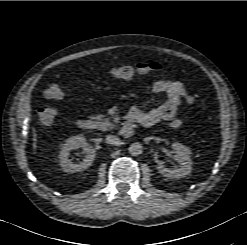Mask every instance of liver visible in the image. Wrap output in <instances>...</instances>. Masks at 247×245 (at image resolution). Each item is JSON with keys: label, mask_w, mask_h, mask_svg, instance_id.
I'll use <instances>...</instances> for the list:
<instances>
[{"label": "liver", "mask_w": 247, "mask_h": 245, "mask_svg": "<svg viewBox=\"0 0 247 245\" xmlns=\"http://www.w3.org/2000/svg\"><path fill=\"white\" fill-rule=\"evenodd\" d=\"M33 149H34V151L36 150V147H37V145H36V141H37V138H36V133H35V131H34V137H33Z\"/></svg>", "instance_id": "1"}]
</instances>
